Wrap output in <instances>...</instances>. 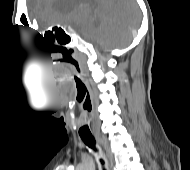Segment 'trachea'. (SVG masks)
Returning <instances> with one entry per match:
<instances>
[{"label": "trachea", "mask_w": 190, "mask_h": 170, "mask_svg": "<svg viewBox=\"0 0 190 170\" xmlns=\"http://www.w3.org/2000/svg\"><path fill=\"white\" fill-rule=\"evenodd\" d=\"M81 139L89 148L93 149L94 151H97L96 142L93 136H81ZM100 162L102 165H104V161L102 159H100Z\"/></svg>", "instance_id": "1"}]
</instances>
